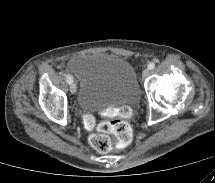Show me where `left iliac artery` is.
Wrapping results in <instances>:
<instances>
[{
    "mask_svg": "<svg viewBox=\"0 0 215 183\" xmlns=\"http://www.w3.org/2000/svg\"><path fill=\"white\" fill-rule=\"evenodd\" d=\"M155 68V63L154 62H150L148 65V69L152 70Z\"/></svg>",
    "mask_w": 215,
    "mask_h": 183,
    "instance_id": "1",
    "label": "left iliac artery"
}]
</instances>
